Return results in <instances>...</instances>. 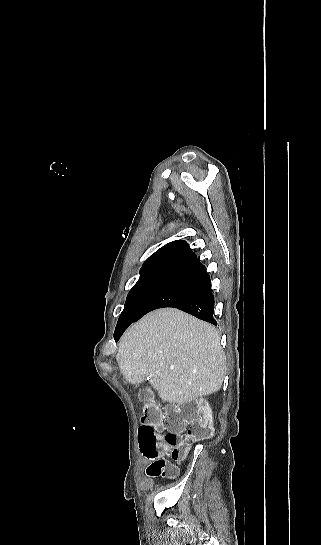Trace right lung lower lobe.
Segmentation results:
<instances>
[{
	"instance_id": "right-lung-lower-lobe-1",
	"label": "right lung lower lobe",
	"mask_w": 321,
	"mask_h": 545,
	"mask_svg": "<svg viewBox=\"0 0 321 545\" xmlns=\"http://www.w3.org/2000/svg\"><path fill=\"white\" fill-rule=\"evenodd\" d=\"M162 307H174L217 325L213 318L214 296L205 266L196 257L176 269L148 300L142 310L128 321L118 322L114 338L117 341L127 327L146 313Z\"/></svg>"
}]
</instances>
